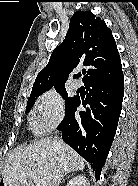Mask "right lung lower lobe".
I'll return each instance as SVG.
<instances>
[{
	"mask_svg": "<svg viewBox=\"0 0 138 186\" xmlns=\"http://www.w3.org/2000/svg\"><path fill=\"white\" fill-rule=\"evenodd\" d=\"M85 87L89 91L86 98H75L58 129L62 131L64 142L90 163L98 180L116 133L124 95V77L91 81ZM86 104L89 108L75 117L77 107H86Z\"/></svg>",
	"mask_w": 138,
	"mask_h": 186,
	"instance_id": "98d812e1",
	"label": "right lung lower lobe"
}]
</instances>
